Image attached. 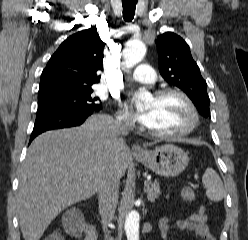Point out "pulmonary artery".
<instances>
[{
	"mask_svg": "<svg viewBox=\"0 0 248 240\" xmlns=\"http://www.w3.org/2000/svg\"><path fill=\"white\" fill-rule=\"evenodd\" d=\"M131 77L141 83H153L156 75L153 69L147 64H141L131 73Z\"/></svg>",
	"mask_w": 248,
	"mask_h": 240,
	"instance_id": "obj_1",
	"label": "pulmonary artery"
}]
</instances>
